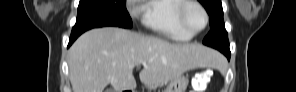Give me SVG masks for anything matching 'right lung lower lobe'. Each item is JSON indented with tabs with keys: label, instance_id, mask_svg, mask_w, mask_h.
I'll list each match as a JSON object with an SVG mask.
<instances>
[{
	"label": "right lung lower lobe",
	"instance_id": "right-lung-lower-lobe-1",
	"mask_svg": "<svg viewBox=\"0 0 296 92\" xmlns=\"http://www.w3.org/2000/svg\"><path fill=\"white\" fill-rule=\"evenodd\" d=\"M83 32H78V31H74L72 30L71 36H70V40H69V44L68 47L76 40V38L82 34Z\"/></svg>",
	"mask_w": 296,
	"mask_h": 92
}]
</instances>
